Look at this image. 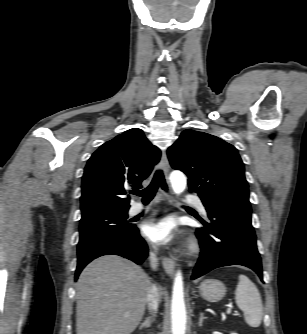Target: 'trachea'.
Listing matches in <instances>:
<instances>
[{
  "instance_id": "obj_1",
  "label": "trachea",
  "mask_w": 307,
  "mask_h": 334,
  "mask_svg": "<svg viewBox=\"0 0 307 334\" xmlns=\"http://www.w3.org/2000/svg\"><path fill=\"white\" fill-rule=\"evenodd\" d=\"M159 186L167 191V185L161 170L156 171L152 182L147 188L143 190H136L133 192V194L141 196L143 203H148L154 198Z\"/></svg>"
}]
</instances>
